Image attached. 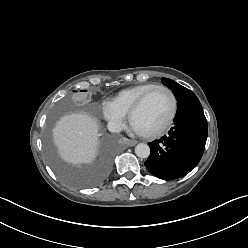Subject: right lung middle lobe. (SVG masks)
<instances>
[{
	"mask_svg": "<svg viewBox=\"0 0 248 248\" xmlns=\"http://www.w3.org/2000/svg\"><path fill=\"white\" fill-rule=\"evenodd\" d=\"M46 146L48 158L57 174L66 182L79 187H89L99 183L108 172L114 155L113 148L107 145L95 165L74 167L57 156L50 136L46 140Z\"/></svg>",
	"mask_w": 248,
	"mask_h": 248,
	"instance_id": "1",
	"label": "right lung middle lobe"
}]
</instances>
